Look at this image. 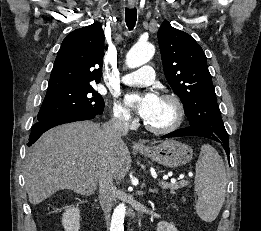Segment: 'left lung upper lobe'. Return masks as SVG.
Listing matches in <instances>:
<instances>
[{"instance_id":"left-lung-upper-lobe-1","label":"left lung upper lobe","mask_w":261,"mask_h":231,"mask_svg":"<svg viewBox=\"0 0 261 231\" xmlns=\"http://www.w3.org/2000/svg\"><path fill=\"white\" fill-rule=\"evenodd\" d=\"M158 42L165 77L183 102L190 127L208 138L228 139L202 48L168 21L158 31Z\"/></svg>"}]
</instances>
